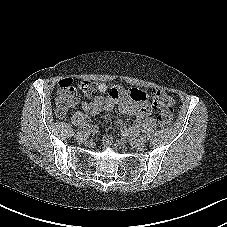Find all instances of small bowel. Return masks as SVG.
Listing matches in <instances>:
<instances>
[{
	"label": "small bowel",
	"mask_w": 227,
	"mask_h": 227,
	"mask_svg": "<svg viewBox=\"0 0 227 227\" xmlns=\"http://www.w3.org/2000/svg\"><path fill=\"white\" fill-rule=\"evenodd\" d=\"M98 91L100 95L82 103L84 112L88 115H96L101 111H110L118 107L123 114L135 118L130 127H121L122 135L128 138L135 136L140 130L142 120L151 114V107L147 104V94L136 88L127 90L119 86L108 87L104 83L98 84Z\"/></svg>",
	"instance_id": "1"
}]
</instances>
